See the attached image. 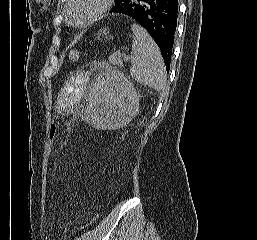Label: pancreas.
Wrapping results in <instances>:
<instances>
[{
	"label": "pancreas",
	"mask_w": 257,
	"mask_h": 240,
	"mask_svg": "<svg viewBox=\"0 0 257 240\" xmlns=\"http://www.w3.org/2000/svg\"><path fill=\"white\" fill-rule=\"evenodd\" d=\"M109 62L112 64V65H118L120 67L123 66L122 64V61L120 59V54L119 53H113L109 56Z\"/></svg>",
	"instance_id": "cf45deb5"
}]
</instances>
